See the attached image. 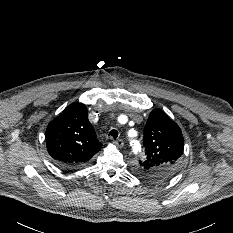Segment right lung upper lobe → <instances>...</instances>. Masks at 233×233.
<instances>
[{
  "instance_id": "cb5924a9",
  "label": "right lung upper lobe",
  "mask_w": 233,
  "mask_h": 233,
  "mask_svg": "<svg viewBox=\"0 0 233 233\" xmlns=\"http://www.w3.org/2000/svg\"><path fill=\"white\" fill-rule=\"evenodd\" d=\"M46 145L50 156L67 169L85 166L102 146L82 103L69 105L49 123Z\"/></svg>"
}]
</instances>
